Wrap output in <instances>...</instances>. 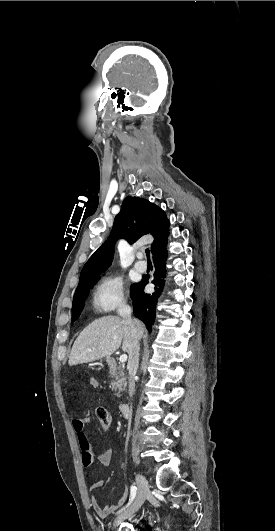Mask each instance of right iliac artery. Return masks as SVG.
I'll return each mask as SVG.
<instances>
[{
    "instance_id": "82829eb1",
    "label": "right iliac artery",
    "mask_w": 275,
    "mask_h": 531,
    "mask_svg": "<svg viewBox=\"0 0 275 531\" xmlns=\"http://www.w3.org/2000/svg\"><path fill=\"white\" fill-rule=\"evenodd\" d=\"M136 494H137V487L134 486V485H132V486H131V498H130V501H129L128 505L133 501V499L135 498ZM128 505H127V506H128ZM122 510H123V509H122ZM122 510H121V511H122ZM119 512H120V511H119Z\"/></svg>"
}]
</instances>
